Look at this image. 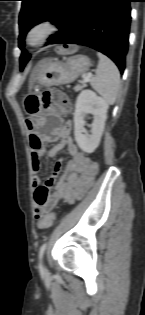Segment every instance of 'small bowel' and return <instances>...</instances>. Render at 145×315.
Wrapping results in <instances>:
<instances>
[{
	"label": "small bowel",
	"instance_id": "obj_1",
	"mask_svg": "<svg viewBox=\"0 0 145 315\" xmlns=\"http://www.w3.org/2000/svg\"><path fill=\"white\" fill-rule=\"evenodd\" d=\"M28 128L32 129V122L27 123ZM71 124H66L59 132V142L48 150L50 157H55L62 150L67 149L71 158L66 164L63 175L59 178L62 164L57 162L53 168L51 176L47 179L45 185L41 184L38 171L42 167V156L44 154L43 142H49L53 139V133L45 129L40 135V139L31 135L28 140V147L32 148L31 168L33 171L32 187L34 188V198L37 203L34 207V217L37 220L38 227L46 229L52 223H43V216H53L51 213L55 205L63 200L73 203L82 199L93 186L98 175V165L93 162L88 155L80 152L70 137ZM54 186L53 196L49 200V187Z\"/></svg>",
	"mask_w": 145,
	"mask_h": 315
}]
</instances>
